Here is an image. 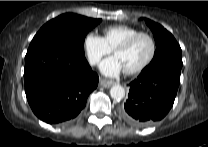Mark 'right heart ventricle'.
<instances>
[{
  "label": "right heart ventricle",
  "mask_w": 208,
  "mask_h": 147,
  "mask_svg": "<svg viewBox=\"0 0 208 147\" xmlns=\"http://www.w3.org/2000/svg\"><path fill=\"white\" fill-rule=\"evenodd\" d=\"M141 32L139 29L128 25H115L104 29L103 38L111 50L131 36Z\"/></svg>",
  "instance_id": "obj_1"
}]
</instances>
